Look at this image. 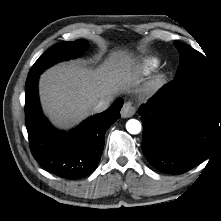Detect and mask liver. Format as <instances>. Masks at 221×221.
Here are the masks:
<instances>
[{
  "label": "liver",
  "instance_id": "1",
  "mask_svg": "<svg viewBox=\"0 0 221 221\" xmlns=\"http://www.w3.org/2000/svg\"><path fill=\"white\" fill-rule=\"evenodd\" d=\"M138 77L134 59L123 51L112 53L96 69L79 61L58 64L40 77L43 111L57 127H72L94 113L99 100L128 91Z\"/></svg>",
  "mask_w": 221,
  "mask_h": 221
}]
</instances>
